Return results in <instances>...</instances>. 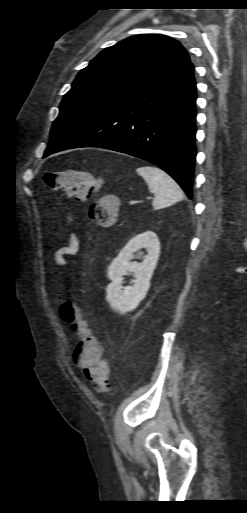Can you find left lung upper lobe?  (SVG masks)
I'll return each instance as SVG.
<instances>
[{
  "instance_id": "1",
  "label": "left lung upper lobe",
  "mask_w": 247,
  "mask_h": 513,
  "mask_svg": "<svg viewBox=\"0 0 247 513\" xmlns=\"http://www.w3.org/2000/svg\"><path fill=\"white\" fill-rule=\"evenodd\" d=\"M190 58L176 40L137 35L104 49L65 94L45 155L95 121L168 81Z\"/></svg>"
}]
</instances>
